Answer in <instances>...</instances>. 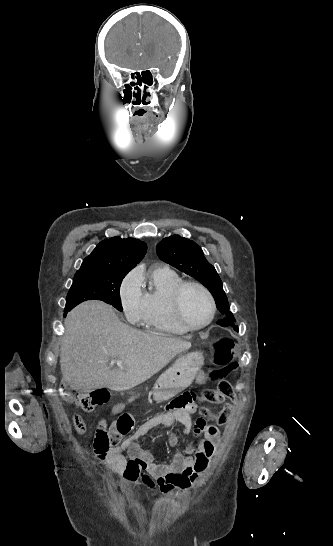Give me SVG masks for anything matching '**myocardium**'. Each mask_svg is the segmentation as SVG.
<instances>
[{"label":"myocardium","mask_w":333,"mask_h":546,"mask_svg":"<svg viewBox=\"0 0 333 546\" xmlns=\"http://www.w3.org/2000/svg\"><path fill=\"white\" fill-rule=\"evenodd\" d=\"M191 286L200 289L206 295L210 305L209 318L200 325L190 324L186 320L182 310V295L185 289ZM170 304H171V310L173 312L175 319L187 331H197V330L206 328L213 322L217 312L216 302L212 292L204 284L194 280H183L182 282H180L174 288L171 294Z\"/></svg>","instance_id":"f54148a6"}]
</instances>
